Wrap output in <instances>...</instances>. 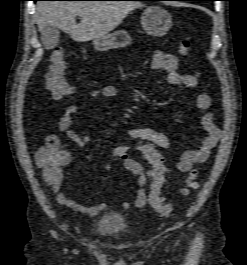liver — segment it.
Wrapping results in <instances>:
<instances>
[{
  "label": "liver",
  "instance_id": "obj_1",
  "mask_svg": "<svg viewBox=\"0 0 247 265\" xmlns=\"http://www.w3.org/2000/svg\"><path fill=\"white\" fill-rule=\"evenodd\" d=\"M143 4L134 1H39L35 19L39 31L53 25L76 42L105 37L118 27L124 18ZM81 22L76 24V17Z\"/></svg>",
  "mask_w": 247,
  "mask_h": 265
}]
</instances>
